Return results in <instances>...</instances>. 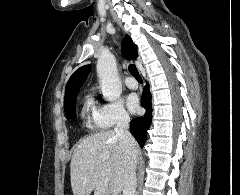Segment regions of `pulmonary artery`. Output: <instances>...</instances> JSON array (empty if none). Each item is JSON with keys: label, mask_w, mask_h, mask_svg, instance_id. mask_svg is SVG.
<instances>
[{"label": "pulmonary artery", "mask_w": 240, "mask_h": 195, "mask_svg": "<svg viewBox=\"0 0 240 195\" xmlns=\"http://www.w3.org/2000/svg\"><path fill=\"white\" fill-rule=\"evenodd\" d=\"M125 83L128 87L136 89L138 87V83L135 79L133 78H126Z\"/></svg>", "instance_id": "1"}]
</instances>
